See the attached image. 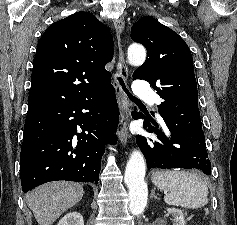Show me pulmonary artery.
Returning a JSON list of instances; mask_svg holds the SVG:
<instances>
[{
    "label": "pulmonary artery",
    "mask_w": 237,
    "mask_h": 225,
    "mask_svg": "<svg viewBox=\"0 0 237 225\" xmlns=\"http://www.w3.org/2000/svg\"><path fill=\"white\" fill-rule=\"evenodd\" d=\"M133 92L143 98L145 101L158 104L160 102V98L152 93L150 87L145 82H137L133 87Z\"/></svg>",
    "instance_id": "1"
}]
</instances>
